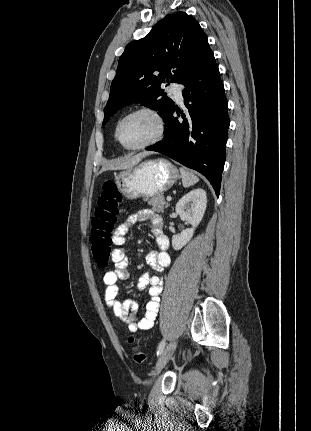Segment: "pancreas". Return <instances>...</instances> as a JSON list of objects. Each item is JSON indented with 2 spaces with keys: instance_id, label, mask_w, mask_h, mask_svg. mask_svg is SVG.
<instances>
[{
  "instance_id": "obj_1",
  "label": "pancreas",
  "mask_w": 311,
  "mask_h": 431,
  "mask_svg": "<svg viewBox=\"0 0 311 431\" xmlns=\"http://www.w3.org/2000/svg\"><path fill=\"white\" fill-rule=\"evenodd\" d=\"M144 202H148L149 206H151V210L154 212H164V208H168L169 204L164 202V196L160 194V196H155V198H143Z\"/></svg>"
}]
</instances>
